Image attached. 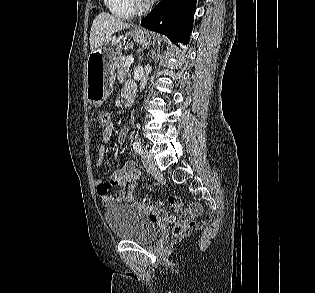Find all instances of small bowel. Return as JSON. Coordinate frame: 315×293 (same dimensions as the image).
Wrapping results in <instances>:
<instances>
[{
	"mask_svg": "<svg viewBox=\"0 0 315 293\" xmlns=\"http://www.w3.org/2000/svg\"><path fill=\"white\" fill-rule=\"evenodd\" d=\"M134 84L129 82L124 86L125 95L129 92H134ZM113 129V121L111 116L109 117L108 124L103 127V143L99 146L98 156L96 159V166H101L104 162V158L107 150V143L111 138ZM129 133V127L127 125L123 126L118 135V143L123 144ZM140 173L135 167L134 162L130 158H126L120 170L116 171L110 178L109 181H103L101 179H96L94 181L95 189L100 201L105 206H112L114 204L120 203L123 200L133 203V190ZM121 186L115 193H110L112 187ZM173 215L178 213L176 208L171 210ZM151 220L163 221L167 220L168 213L166 211H152L150 215Z\"/></svg>",
	"mask_w": 315,
	"mask_h": 293,
	"instance_id": "obj_1",
	"label": "small bowel"
}]
</instances>
